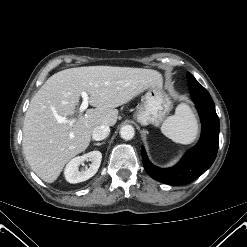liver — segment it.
Instances as JSON below:
<instances>
[{
  "label": "liver",
  "instance_id": "6515ba94",
  "mask_svg": "<svg viewBox=\"0 0 247 247\" xmlns=\"http://www.w3.org/2000/svg\"><path fill=\"white\" fill-rule=\"evenodd\" d=\"M160 79L156 70L112 66L70 68L52 75L34 95L25 114L23 152L31 169L43 181L54 182L65 164L88 147L95 127L114 126L116 107ZM83 91L96 108L73 118ZM57 117L67 122L59 123Z\"/></svg>",
  "mask_w": 247,
  "mask_h": 247
}]
</instances>
